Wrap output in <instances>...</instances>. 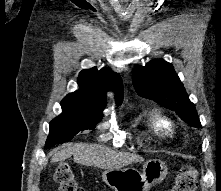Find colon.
I'll return each mask as SVG.
<instances>
[{
	"instance_id": "1",
	"label": "colon",
	"mask_w": 221,
	"mask_h": 191,
	"mask_svg": "<svg viewBox=\"0 0 221 191\" xmlns=\"http://www.w3.org/2000/svg\"><path fill=\"white\" fill-rule=\"evenodd\" d=\"M196 178L197 172L195 168L184 164L177 172L169 191H195ZM54 181L58 185V191H85L75 179L68 163H61L57 166L54 173Z\"/></svg>"
}]
</instances>
